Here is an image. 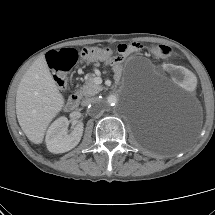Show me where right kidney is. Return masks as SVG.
<instances>
[{"label":"right kidney","mask_w":215,"mask_h":215,"mask_svg":"<svg viewBox=\"0 0 215 215\" xmlns=\"http://www.w3.org/2000/svg\"><path fill=\"white\" fill-rule=\"evenodd\" d=\"M68 119L60 117L55 120L46 133L47 149L51 153H64L78 145L83 134V123L78 122L74 130L68 134Z\"/></svg>","instance_id":"ca27d5eb"}]
</instances>
